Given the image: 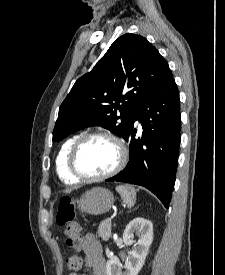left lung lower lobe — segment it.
Here are the masks:
<instances>
[{"label":"left lung lower lobe","instance_id":"0a47b994","mask_svg":"<svg viewBox=\"0 0 225 275\" xmlns=\"http://www.w3.org/2000/svg\"><path fill=\"white\" fill-rule=\"evenodd\" d=\"M137 120L143 129L141 138L135 136ZM180 128L179 93L170 70L144 99L124 138L130 144L126 168L106 181L143 186L168 208L176 178Z\"/></svg>","mask_w":225,"mask_h":275}]
</instances>
